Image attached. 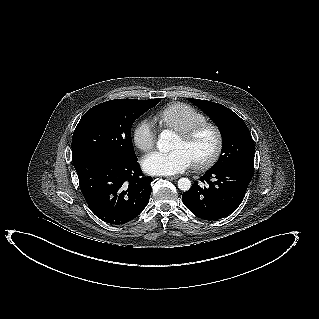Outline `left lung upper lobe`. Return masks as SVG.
<instances>
[{
  "label": "left lung upper lobe",
  "mask_w": 319,
  "mask_h": 319,
  "mask_svg": "<svg viewBox=\"0 0 319 319\" xmlns=\"http://www.w3.org/2000/svg\"><path fill=\"white\" fill-rule=\"evenodd\" d=\"M203 110L222 135V155L211 169L237 166L254 172L255 145L245 122L229 108L214 102L188 99Z\"/></svg>",
  "instance_id": "5c2ea615"
}]
</instances>
